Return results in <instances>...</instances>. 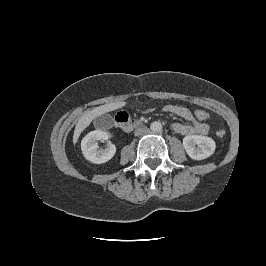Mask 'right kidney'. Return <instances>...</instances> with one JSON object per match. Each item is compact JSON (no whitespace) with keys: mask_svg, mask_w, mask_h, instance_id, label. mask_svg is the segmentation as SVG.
Here are the masks:
<instances>
[{"mask_svg":"<svg viewBox=\"0 0 266 266\" xmlns=\"http://www.w3.org/2000/svg\"><path fill=\"white\" fill-rule=\"evenodd\" d=\"M112 134L107 130H95L88 133L81 142L82 153L88 161L102 164L109 161L116 153L114 144L109 143L105 149L99 150L97 141L108 140Z\"/></svg>","mask_w":266,"mask_h":266,"instance_id":"1","label":"right kidney"}]
</instances>
